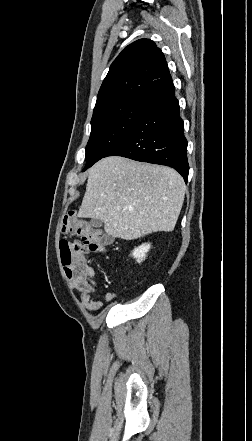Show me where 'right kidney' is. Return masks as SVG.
I'll return each mask as SVG.
<instances>
[{
	"label": "right kidney",
	"instance_id": "right-kidney-1",
	"mask_svg": "<svg viewBox=\"0 0 252 441\" xmlns=\"http://www.w3.org/2000/svg\"><path fill=\"white\" fill-rule=\"evenodd\" d=\"M151 245L149 243H144L133 250V257L136 259L137 263H141L145 260L146 254L149 251Z\"/></svg>",
	"mask_w": 252,
	"mask_h": 441
}]
</instances>
